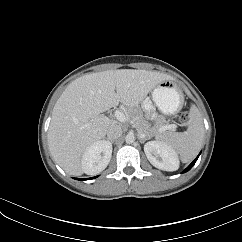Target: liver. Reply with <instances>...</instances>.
Masks as SVG:
<instances>
[{
	"instance_id": "6515ba94",
	"label": "liver",
	"mask_w": 242,
	"mask_h": 242,
	"mask_svg": "<svg viewBox=\"0 0 242 242\" xmlns=\"http://www.w3.org/2000/svg\"><path fill=\"white\" fill-rule=\"evenodd\" d=\"M172 77L156 71L120 69L77 78L57 100L48 130L53 159L70 175L79 176L87 147L105 138L117 124L102 113L119 103L137 110L148 93Z\"/></svg>"
}]
</instances>
